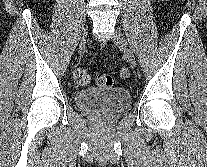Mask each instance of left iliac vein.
Returning a JSON list of instances; mask_svg holds the SVG:
<instances>
[{
    "label": "left iliac vein",
    "instance_id": "1",
    "mask_svg": "<svg viewBox=\"0 0 207 167\" xmlns=\"http://www.w3.org/2000/svg\"><path fill=\"white\" fill-rule=\"evenodd\" d=\"M113 42L121 49L127 61L132 65H136L134 54L129 47L125 37L119 32L116 31L112 36Z\"/></svg>",
    "mask_w": 207,
    "mask_h": 167
}]
</instances>
